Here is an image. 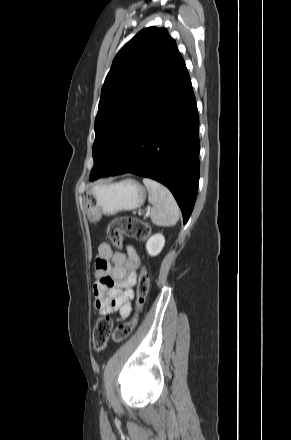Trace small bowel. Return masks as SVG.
<instances>
[{"label":"small bowel","instance_id":"obj_1","mask_svg":"<svg viewBox=\"0 0 291 440\" xmlns=\"http://www.w3.org/2000/svg\"><path fill=\"white\" fill-rule=\"evenodd\" d=\"M138 265V256L131 246L126 253H121L113 251L106 242L99 245L93 293L94 305L100 314L119 311L121 320L130 315Z\"/></svg>","mask_w":291,"mask_h":440}]
</instances>
